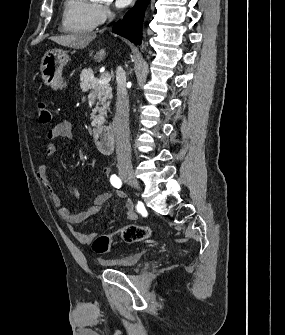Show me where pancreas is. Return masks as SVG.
Segmentation results:
<instances>
[{"label":"pancreas","instance_id":"1","mask_svg":"<svg viewBox=\"0 0 285 335\" xmlns=\"http://www.w3.org/2000/svg\"><path fill=\"white\" fill-rule=\"evenodd\" d=\"M80 79L79 85L85 93H91L93 90L97 92L99 102L95 104L90 116L92 125H101V123L106 122L104 116H106L110 106V102H107V100H112V88H109V86H97L93 82L97 80V75L93 71H83Z\"/></svg>","mask_w":285,"mask_h":335}]
</instances>
